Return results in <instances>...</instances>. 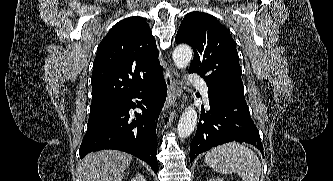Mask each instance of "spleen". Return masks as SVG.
Wrapping results in <instances>:
<instances>
[{"label":"spleen","mask_w":333,"mask_h":181,"mask_svg":"<svg viewBox=\"0 0 333 181\" xmlns=\"http://www.w3.org/2000/svg\"><path fill=\"white\" fill-rule=\"evenodd\" d=\"M205 163L222 174L236 173L242 181H259L262 167L257 155L246 146L230 142L207 152Z\"/></svg>","instance_id":"spleen-1"}]
</instances>
